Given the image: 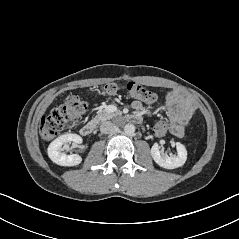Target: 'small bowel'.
<instances>
[{"mask_svg":"<svg viewBox=\"0 0 239 239\" xmlns=\"http://www.w3.org/2000/svg\"><path fill=\"white\" fill-rule=\"evenodd\" d=\"M134 116L141 118L143 105L136 100L132 103ZM166 112L169 117L171 133L177 137H182L185 132V125L190 121L194 113V106L191 100L179 91H173L165 99Z\"/></svg>","mask_w":239,"mask_h":239,"instance_id":"1","label":"small bowel"}]
</instances>
